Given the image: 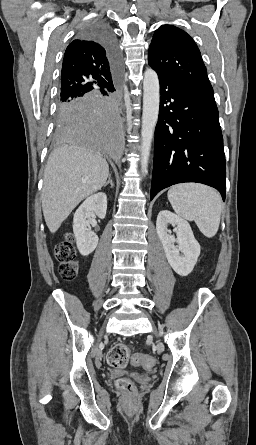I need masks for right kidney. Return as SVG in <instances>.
<instances>
[{"instance_id":"obj_1","label":"right kidney","mask_w":256,"mask_h":445,"mask_svg":"<svg viewBox=\"0 0 256 445\" xmlns=\"http://www.w3.org/2000/svg\"><path fill=\"white\" fill-rule=\"evenodd\" d=\"M107 210V196L99 192L88 197L76 210L73 218V232L81 255L88 256L98 244V236L91 230V218L97 215L104 219Z\"/></svg>"}]
</instances>
